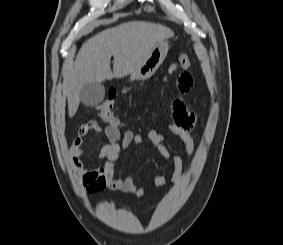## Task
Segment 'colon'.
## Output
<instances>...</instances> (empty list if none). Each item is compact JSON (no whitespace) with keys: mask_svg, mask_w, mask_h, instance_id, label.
Instances as JSON below:
<instances>
[{"mask_svg":"<svg viewBox=\"0 0 283 245\" xmlns=\"http://www.w3.org/2000/svg\"><path fill=\"white\" fill-rule=\"evenodd\" d=\"M190 65H191V59L188 56V54L184 53L177 58L174 67L188 68ZM115 99H116L115 91L113 90L109 91L107 98L97 106V109L99 111L100 118L103 121L111 125L119 126V120L113 112Z\"/></svg>","mask_w":283,"mask_h":245,"instance_id":"colon-1","label":"colon"}]
</instances>
